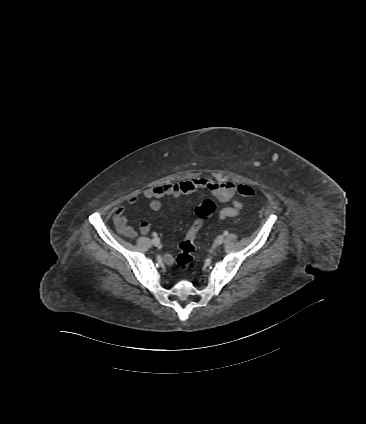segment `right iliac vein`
Listing matches in <instances>:
<instances>
[{"label": "right iliac vein", "mask_w": 366, "mask_h": 424, "mask_svg": "<svg viewBox=\"0 0 366 424\" xmlns=\"http://www.w3.org/2000/svg\"><path fill=\"white\" fill-rule=\"evenodd\" d=\"M152 243H153V245H154V246H159V245H160V239H159V238H157V237H155V238L152 240Z\"/></svg>", "instance_id": "right-iliac-vein-1"}]
</instances>
